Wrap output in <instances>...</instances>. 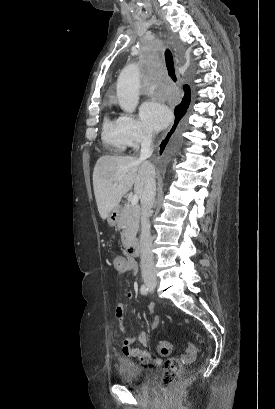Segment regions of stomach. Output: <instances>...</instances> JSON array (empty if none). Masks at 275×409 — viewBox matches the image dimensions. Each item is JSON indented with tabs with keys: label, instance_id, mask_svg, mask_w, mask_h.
<instances>
[{
	"label": "stomach",
	"instance_id": "obj_1",
	"mask_svg": "<svg viewBox=\"0 0 275 409\" xmlns=\"http://www.w3.org/2000/svg\"><path fill=\"white\" fill-rule=\"evenodd\" d=\"M121 211H122V209H121L120 205H117V207H114V209H112L111 213H109V215L107 217V223H108V225H110V227H116V225H118V223L120 221Z\"/></svg>",
	"mask_w": 275,
	"mask_h": 409
}]
</instances>
